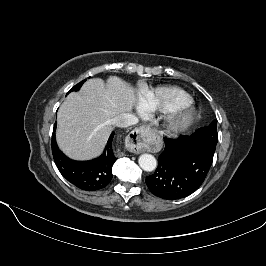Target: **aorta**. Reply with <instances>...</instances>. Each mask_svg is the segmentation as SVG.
Listing matches in <instances>:
<instances>
[{
  "label": "aorta",
  "instance_id": "1",
  "mask_svg": "<svg viewBox=\"0 0 266 266\" xmlns=\"http://www.w3.org/2000/svg\"><path fill=\"white\" fill-rule=\"evenodd\" d=\"M139 165L140 167L147 172H151L156 169L157 167V161L155 157L151 154H142L139 157Z\"/></svg>",
  "mask_w": 266,
  "mask_h": 266
}]
</instances>
